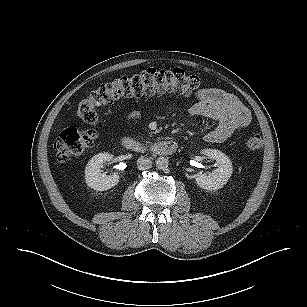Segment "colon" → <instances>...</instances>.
Instances as JSON below:
<instances>
[{
	"label": "colon",
	"instance_id": "obj_1",
	"mask_svg": "<svg viewBox=\"0 0 307 307\" xmlns=\"http://www.w3.org/2000/svg\"><path fill=\"white\" fill-rule=\"evenodd\" d=\"M199 87V79L182 69H147L139 73L122 76L110 83L94 89L77 108L78 117L91 125L88 129H65L55 142V151L60 161L81 155L90 148L98 137L97 110L112 104L122 97H153L165 93L189 96ZM263 141L259 134H250L245 145L250 150H258Z\"/></svg>",
	"mask_w": 307,
	"mask_h": 307
}]
</instances>
